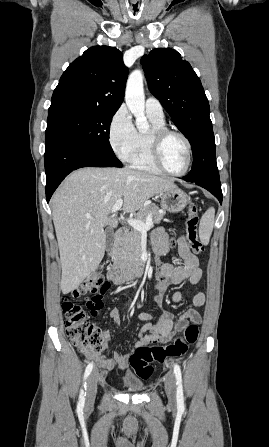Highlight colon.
I'll use <instances>...</instances> for the list:
<instances>
[{
	"mask_svg": "<svg viewBox=\"0 0 269 447\" xmlns=\"http://www.w3.org/2000/svg\"><path fill=\"white\" fill-rule=\"evenodd\" d=\"M186 220L187 238L191 250L200 254L203 252V244L198 237L199 208L195 203L187 207ZM106 291V278L104 275L94 273L85 278L82 283L61 301L62 312L66 317L64 323L67 334L75 348L79 351L97 352L103 346V338L110 336L109 331L101 329L90 320V316L102 307L99 296ZM83 297L88 313L86 315L81 303L74 298ZM198 327L196 324H188L182 329V336H177L173 342L166 345H153L151 347L136 348L130 358V365L134 372L143 379H149L154 374L152 362H163L167 358H180L187 353L188 345L196 342Z\"/></svg>",
	"mask_w": 269,
	"mask_h": 447,
	"instance_id": "obj_1",
	"label": "colon"
}]
</instances>
